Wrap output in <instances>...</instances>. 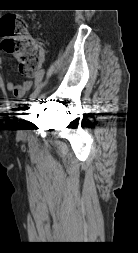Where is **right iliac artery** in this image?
<instances>
[{"mask_svg": "<svg viewBox=\"0 0 138 253\" xmlns=\"http://www.w3.org/2000/svg\"><path fill=\"white\" fill-rule=\"evenodd\" d=\"M44 77H45V71L44 70H41L40 73L36 74V81H35L34 88H36L38 86V84L40 83V81L43 80Z\"/></svg>", "mask_w": 138, "mask_h": 253, "instance_id": "1", "label": "right iliac artery"}]
</instances>
